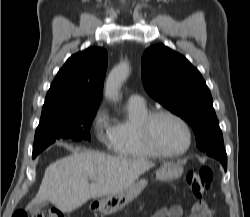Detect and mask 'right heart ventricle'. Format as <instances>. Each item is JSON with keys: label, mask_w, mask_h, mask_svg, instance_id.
Here are the masks:
<instances>
[{"label": "right heart ventricle", "mask_w": 250, "mask_h": 217, "mask_svg": "<svg viewBox=\"0 0 250 217\" xmlns=\"http://www.w3.org/2000/svg\"><path fill=\"white\" fill-rule=\"evenodd\" d=\"M125 118L112 124V151L123 157L152 159L157 157L144 143L140 133V122L150 112L146 104L130 103L126 105Z\"/></svg>", "instance_id": "right-heart-ventricle-1"}]
</instances>
